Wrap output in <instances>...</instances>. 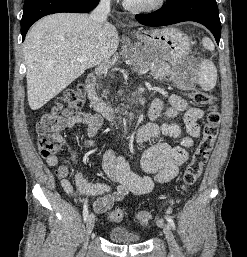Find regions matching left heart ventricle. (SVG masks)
Wrapping results in <instances>:
<instances>
[{
  "label": "left heart ventricle",
  "instance_id": "left-heart-ventricle-1",
  "mask_svg": "<svg viewBox=\"0 0 247 257\" xmlns=\"http://www.w3.org/2000/svg\"><path fill=\"white\" fill-rule=\"evenodd\" d=\"M128 1H131V2H134V3H147V2H150V1H153V0H128Z\"/></svg>",
  "mask_w": 247,
  "mask_h": 257
}]
</instances>
